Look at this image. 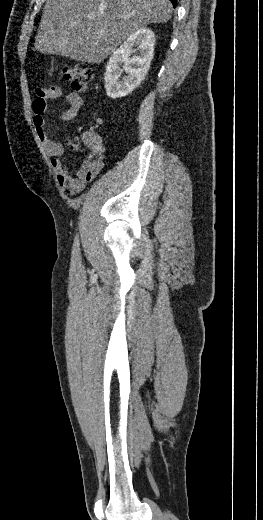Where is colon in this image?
Listing matches in <instances>:
<instances>
[{
  "instance_id": "obj_1",
  "label": "colon",
  "mask_w": 263,
  "mask_h": 520,
  "mask_svg": "<svg viewBox=\"0 0 263 520\" xmlns=\"http://www.w3.org/2000/svg\"><path fill=\"white\" fill-rule=\"evenodd\" d=\"M61 71L64 79L69 83L72 90L76 92L85 91L92 80V70L85 64L65 65L61 68ZM71 147L77 149L78 145L71 144Z\"/></svg>"
}]
</instances>
